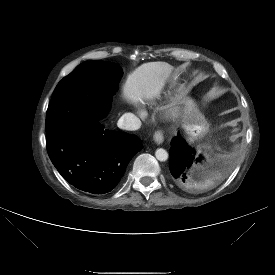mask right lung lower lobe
<instances>
[{"label": "right lung lower lobe", "instance_id": "98d812e1", "mask_svg": "<svg viewBox=\"0 0 275 275\" xmlns=\"http://www.w3.org/2000/svg\"><path fill=\"white\" fill-rule=\"evenodd\" d=\"M118 81L103 89L107 96L114 94ZM46 145L58 172L74 187L92 194L115 188L143 147L135 135L105 129L99 119L92 118L51 129L46 132Z\"/></svg>", "mask_w": 275, "mask_h": 275}]
</instances>
